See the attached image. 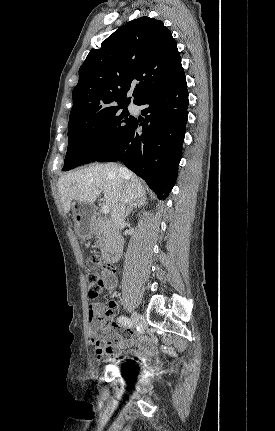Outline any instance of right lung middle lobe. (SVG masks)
<instances>
[{
	"mask_svg": "<svg viewBox=\"0 0 275 431\" xmlns=\"http://www.w3.org/2000/svg\"><path fill=\"white\" fill-rule=\"evenodd\" d=\"M127 104L82 116L68 125V150L63 171L96 161L123 135L134 117ZM123 110L121 111L120 109Z\"/></svg>",
	"mask_w": 275,
	"mask_h": 431,
	"instance_id": "1",
	"label": "right lung middle lobe"
}]
</instances>
